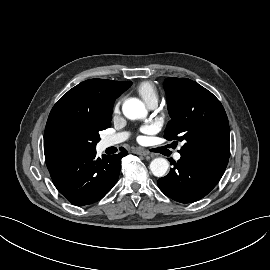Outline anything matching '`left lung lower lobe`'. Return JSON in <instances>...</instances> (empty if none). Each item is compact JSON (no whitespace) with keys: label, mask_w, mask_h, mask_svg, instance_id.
Here are the masks:
<instances>
[{"label":"left lung lower lobe","mask_w":270,"mask_h":270,"mask_svg":"<svg viewBox=\"0 0 270 270\" xmlns=\"http://www.w3.org/2000/svg\"><path fill=\"white\" fill-rule=\"evenodd\" d=\"M228 160L210 155L181 154L168 175L158 180L161 191L175 201L195 202L219 182Z\"/></svg>","instance_id":"obj_1"}]
</instances>
